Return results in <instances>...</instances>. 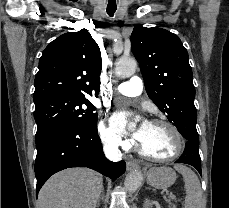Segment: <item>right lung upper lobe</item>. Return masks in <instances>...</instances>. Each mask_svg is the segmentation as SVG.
<instances>
[{
  "instance_id": "1",
  "label": "right lung upper lobe",
  "mask_w": 229,
  "mask_h": 208,
  "mask_svg": "<svg viewBox=\"0 0 229 208\" xmlns=\"http://www.w3.org/2000/svg\"><path fill=\"white\" fill-rule=\"evenodd\" d=\"M101 68L100 48L86 29L65 33L43 51L33 100L58 94L97 97Z\"/></svg>"
}]
</instances>
